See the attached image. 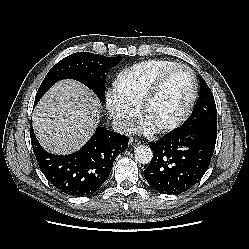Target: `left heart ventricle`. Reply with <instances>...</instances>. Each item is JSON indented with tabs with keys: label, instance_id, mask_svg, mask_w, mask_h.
I'll use <instances>...</instances> for the list:
<instances>
[{
	"label": "left heart ventricle",
	"instance_id": "obj_1",
	"mask_svg": "<svg viewBox=\"0 0 249 249\" xmlns=\"http://www.w3.org/2000/svg\"><path fill=\"white\" fill-rule=\"evenodd\" d=\"M191 88V76L185 69L171 74L149 107L145 121L154 128L174 120L184 109Z\"/></svg>",
	"mask_w": 249,
	"mask_h": 249
}]
</instances>
